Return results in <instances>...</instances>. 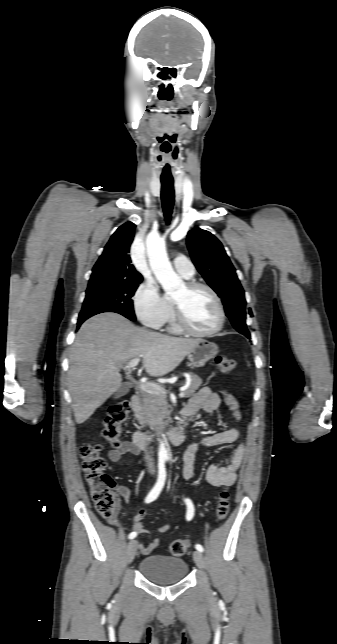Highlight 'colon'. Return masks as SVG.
<instances>
[{"instance_id": "1", "label": "colon", "mask_w": 337, "mask_h": 644, "mask_svg": "<svg viewBox=\"0 0 337 644\" xmlns=\"http://www.w3.org/2000/svg\"><path fill=\"white\" fill-rule=\"evenodd\" d=\"M217 368L221 373L231 372L235 366V360L224 355L215 359ZM130 412V405L122 401L112 405L104 418L102 434L106 441L114 448L121 445L123 425ZM100 446L95 444H82L79 447V456L82 460V467L85 473L86 482L90 488L92 500L98 513L105 519L111 520L116 512L115 483L105 472L106 462L100 455ZM229 513V493L226 489L221 491L215 509L216 518L224 520ZM189 549V542L185 539L174 540L169 546L172 556L184 555Z\"/></svg>"}]
</instances>
